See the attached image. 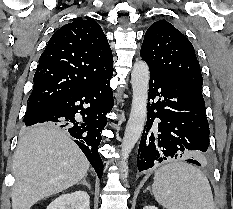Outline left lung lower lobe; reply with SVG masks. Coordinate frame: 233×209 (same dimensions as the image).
I'll use <instances>...</instances> for the list:
<instances>
[{
    "label": "left lung lower lobe",
    "instance_id": "obj_1",
    "mask_svg": "<svg viewBox=\"0 0 233 209\" xmlns=\"http://www.w3.org/2000/svg\"><path fill=\"white\" fill-rule=\"evenodd\" d=\"M148 97L157 101L148 106L138 150L139 171L190 150L207 151L209 124L200 92L185 81L150 69ZM186 161L200 166L197 160Z\"/></svg>",
    "mask_w": 233,
    "mask_h": 209
}]
</instances>
